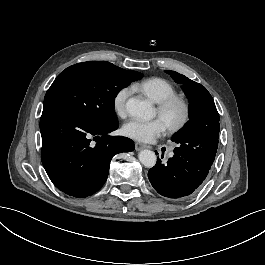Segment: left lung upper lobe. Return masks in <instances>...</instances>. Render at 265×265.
<instances>
[{
	"label": "left lung upper lobe",
	"instance_id": "1",
	"mask_svg": "<svg viewBox=\"0 0 265 265\" xmlns=\"http://www.w3.org/2000/svg\"><path fill=\"white\" fill-rule=\"evenodd\" d=\"M166 73L182 88L189 100L190 120L172 141L178 144L174 153L195 165L211 169L214 163L219 138V114L212 96L201 84L175 71Z\"/></svg>",
	"mask_w": 265,
	"mask_h": 265
}]
</instances>
